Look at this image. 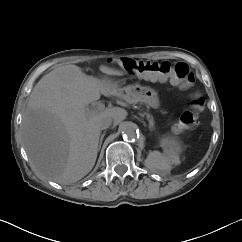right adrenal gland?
<instances>
[{
  "mask_svg": "<svg viewBox=\"0 0 242 242\" xmlns=\"http://www.w3.org/2000/svg\"><path fill=\"white\" fill-rule=\"evenodd\" d=\"M104 135H105V133H103V134L101 135V137H100L98 150H100V148H101V145H102V141H103Z\"/></svg>",
  "mask_w": 242,
  "mask_h": 242,
  "instance_id": "obj_1",
  "label": "right adrenal gland"
}]
</instances>
